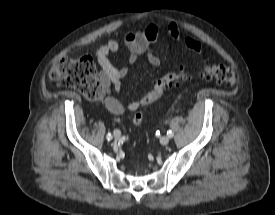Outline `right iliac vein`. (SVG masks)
Returning <instances> with one entry per match:
<instances>
[{"label":"right iliac vein","instance_id":"1","mask_svg":"<svg viewBox=\"0 0 275 215\" xmlns=\"http://www.w3.org/2000/svg\"><path fill=\"white\" fill-rule=\"evenodd\" d=\"M113 135L116 139H119L121 137V132L119 130H114Z\"/></svg>","mask_w":275,"mask_h":215}]
</instances>
